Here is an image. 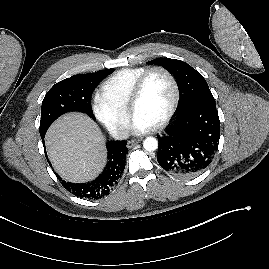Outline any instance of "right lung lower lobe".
Here are the masks:
<instances>
[{
  "mask_svg": "<svg viewBox=\"0 0 269 269\" xmlns=\"http://www.w3.org/2000/svg\"><path fill=\"white\" fill-rule=\"evenodd\" d=\"M42 141L44 144V137H42ZM107 149V165L103 172L95 180L81 184L61 180L64 188L73 193L75 196L87 199L96 200L107 196L117 185L118 180L124 171L126 154L128 153L125 141H110L107 143ZM56 175L59 179H61L58 174Z\"/></svg>",
  "mask_w": 269,
  "mask_h": 269,
  "instance_id": "1",
  "label": "right lung lower lobe"
}]
</instances>
